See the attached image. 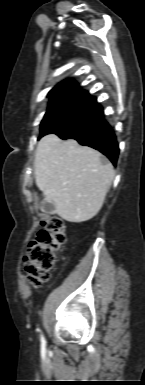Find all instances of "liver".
Returning a JSON list of instances; mask_svg holds the SVG:
<instances>
[{"mask_svg":"<svg viewBox=\"0 0 145 385\" xmlns=\"http://www.w3.org/2000/svg\"><path fill=\"white\" fill-rule=\"evenodd\" d=\"M115 173L97 150L74 139L44 136L35 154V182L44 200L68 222L92 219L100 211Z\"/></svg>","mask_w":145,"mask_h":385,"instance_id":"obj_1","label":"liver"}]
</instances>
